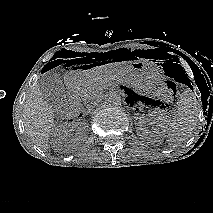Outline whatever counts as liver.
Here are the masks:
<instances>
[{
	"label": "liver",
	"mask_w": 213,
	"mask_h": 213,
	"mask_svg": "<svg viewBox=\"0 0 213 213\" xmlns=\"http://www.w3.org/2000/svg\"><path fill=\"white\" fill-rule=\"evenodd\" d=\"M120 64L99 66L90 69L89 76L111 73ZM54 110L51 105L42 97L38 85L32 87L23 105V121L28 137L42 150H48L49 137L54 124Z\"/></svg>",
	"instance_id": "obj_1"
}]
</instances>
